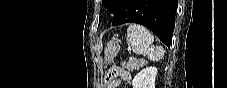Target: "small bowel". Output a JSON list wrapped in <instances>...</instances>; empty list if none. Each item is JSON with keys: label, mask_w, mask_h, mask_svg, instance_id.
Returning <instances> with one entry per match:
<instances>
[{"label": "small bowel", "mask_w": 227, "mask_h": 88, "mask_svg": "<svg viewBox=\"0 0 227 88\" xmlns=\"http://www.w3.org/2000/svg\"><path fill=\"white\" fill-rule=\"evenodd\" d=\"M131 76L128 72L119 68L113 69L105 79L107 88H117L121 82L130 81Z\"/></svg>", "instance_id": "small-bowel-1"}]
</instances>
